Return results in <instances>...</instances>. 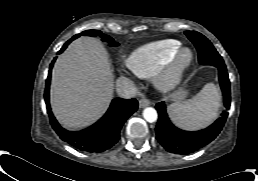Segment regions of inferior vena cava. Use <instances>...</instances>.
Wrapping results in <instances>:
<instances>
[{"label":"inferior vena cava","instance_id":"602c4592","mask_svg":"<svg viewBox=\"0 0 258 181\" xmlns=\"http://www.w3.org/2000/svg\"><path fill=\"white\" fill-rule=\"evenodd\" d=\"M116 91L122 98L129 99L137 95L138 89L134 82L126 77H120L116 82Z\"/></svg>","mask_w":258,"mask_h":181}]
</instances>
